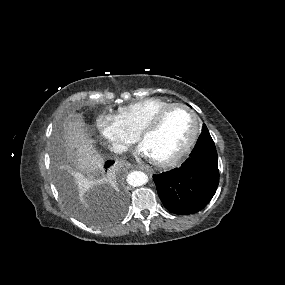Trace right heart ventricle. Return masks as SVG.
Wrapping results in <instances>:
<instances>
[{
	"mask_svg": "<svg viewBox=\"0 0 285 285\" xmlns=\"http://www.w3.org/2000/svg\"><path fill=\"white\" fill-rule=\"evenodd\" d=\"M171 104L161 98H148L122 107L118 116L129 129L139 133L148 121Z\"/></svg>",
	"mask_w": 285,
	"mask_h": 285,
	"instance_id": "1",
	"label": "right heart ventricle"
}]
</instances>
